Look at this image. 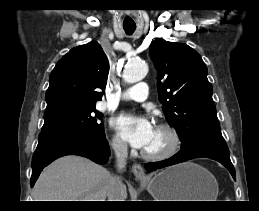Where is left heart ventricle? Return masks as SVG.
<instances>
[{"label":"left heart ventricle","mask_w":259,"mask_h":211,"mask_svg":"<svg viewBox=\"0 0 259 211\" xmlns=\"http://www.w3.org/2000/svg\"><path fill=\"white\" fill-rule=\"evenodd\" d=\"M168 145V136L164 131L154 129L150 142L144 148L148 152H159Z\"/></svg>","instance_id":"b2bd125f"}]
</instances>
